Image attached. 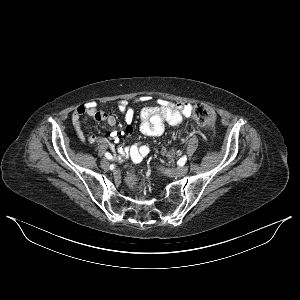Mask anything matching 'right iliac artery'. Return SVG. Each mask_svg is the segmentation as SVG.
Segmentation results:
<instances>
[{"label": "right iliac artery", "mask_w": 300, "mask_h": 300, "mask_svg": "<svg viewBox=\"0 0 300 300\" xmlns=\"http://www.w3.org/2000/svg\"><path fill=\"white\" fill-rule=\"evenodd\" d=\"M105 157L109 160H111L113 158L112 155L108 152L105 153Z\"/></svg>", "instance_id": "1"}]
</instances>
